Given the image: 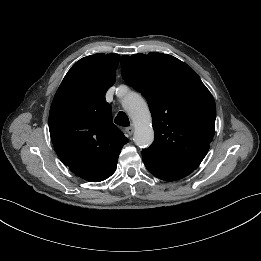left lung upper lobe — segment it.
<instances>
[{"label": "left lung upper lobe", "instance_id": "5c2ea615", "mask_svg": "<svg viewBox=\"0 0 261 261\" xmlns=\"http://www.w3.org/2000/svg\"><path fill=\"white\" fill-rule=\"evenodd\" d=\"M125 82L147 100L155 131L142 156L177 169L195 170L215 131L216 106L209 90L184 62L162 53L124 55Z\"/></svg>", "mask_w": 261, "mask_h": 261}]
</instances>
